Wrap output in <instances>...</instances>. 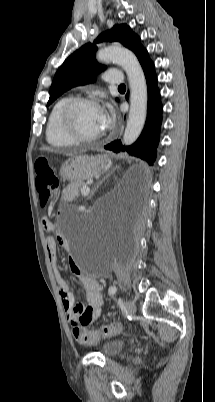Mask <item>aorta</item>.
<instances>
[{
	"label": "aorta",
	"mask_w": 215,
	"mask_h": 402,
	"mask_svg": "<svg viewBox=\"0 0 215 402\" xmlns=\"http://www.w3.org/2000/svg\"><path fill=\"white\" fill-rule=\"evenodd\" d=\"M100 62H114L127 74L130 85V111L123 144H133L142 132L147 114V84L144 72L136 56L121 47H106L96 55Z\"/></svg>",
	"instance_id": "aorta-1"
}]
</instances>
